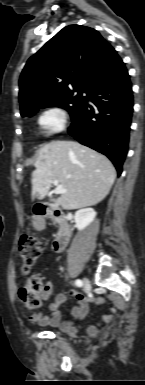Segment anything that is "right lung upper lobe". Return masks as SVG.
<instances>
[{"mask_svg": "<svg viewBox=\"0 0 145 385\" xmlns=\"http://www.w3.org/2000/svg\"><path fill=\"white\" fill-rule=\"evenodd\" d=\"M125 69L98 31L67 26L27 61L19 80L21 114L72 90L90 91Z\"/></svg>", "mask_w": 145, "mask_h": 385, "instance_id": "cb5924a9", "label": "right lung upper lobe"}]
</instances>
